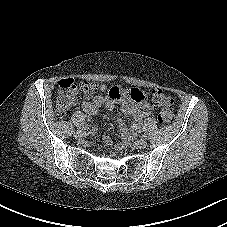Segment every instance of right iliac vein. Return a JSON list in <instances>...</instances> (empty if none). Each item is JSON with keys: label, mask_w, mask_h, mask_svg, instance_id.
I'll list each match as a JSON object with an SVG mask.
<instances>
[{"label": "right iliac vein", "mask_w": 227, "mask_h": 227, "mask_svg": "<svg viewBox=\"0 0 227 227\" xmlns=\"http://www.w3.org/2000/svg\"><path fill=\"white\" fill-rule=\"evenodd\" d=\"M74 136H75L76 139H82V138H84V137L86 136V133L79 130V131H77V132L75 133Z\"/></svg>", "instance_id": "63e3f726"}]
</instances>
